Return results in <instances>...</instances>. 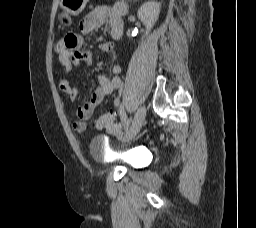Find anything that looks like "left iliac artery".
Returning <instances> with one entry per match:
<instances>
[{"label":"left iliac artery","mask_w":256,"mask_h":228,"mask_svg":"<svg viewBox=\"0 0 256 228\" xmlns=\"http://www.w3.org/2000/svg\"><path fill=\"white\" fill-rule=\"evenodd\" d=\"M119 113H120L121 120H122V122L124 124V129L127 130L128 127H129V120H128L127 116H126V113H125L123 105H120Z\"/></svg>","instance_id":"obj_1"}]
</instances>
